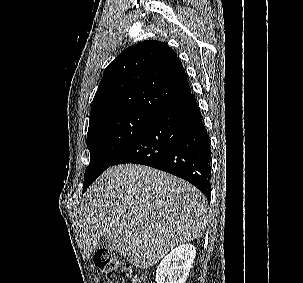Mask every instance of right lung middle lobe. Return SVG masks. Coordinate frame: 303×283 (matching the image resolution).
<instances>
[{
  "label": "right lung middle lobe",
  "mask_w": 303,
  "mask_h": 283,
  "mask_svg": "<svg viewBox=\"0 0 303 283\" xmlns=\"http://www.w3.org/2000/svg\"><path fill=\"white\" fill-rule=\"evenodd\" d=\"M155 116L145 112H124L103 118L89 126L87 147L90 163L85 171L83 192L112 166Z\"/></svg>",
  "instance_id": "right-lung-middle-lobe-1"
}]
</instances>
